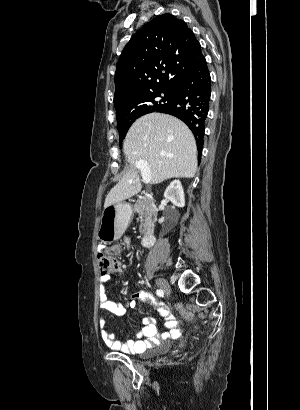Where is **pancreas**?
I'll return each instance as SVG.
<instances>
[{
	"label": "pancreas",
	"mask_w": 300,
	"mask_h": 410,
	"mask_svg": "<svg viewBox=\"0 0 300 410\" xmlns=\"http://www.w3.org/2000/svg\"><path fill=\"white\" fill-rule=\"evenodd\" d=\"M134 211L139 214L141 225L139 230L142 234L151 233L154 229V210L152 204L145 197L138 199L134 204Z\"/></svg>",
	"instance_id": "1"
}]
</instances>
